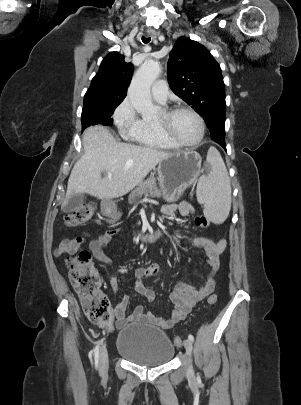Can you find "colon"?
Returning <instances> with one entry per match:
<instances>
[{"mask_svg": "<svg viewBox=\"0 0 301 405\" xmlns=\"http://www.w3.org/2000/svg\"><path fill=\"white\" fill-rule=\"evenodd\" d=\"M93 213V204H83L65 215L64 224L67 227L78 226L86 222ZM195 225L199 228H206L209 222L205 217L199 216L195 219ZM76 240L78 245L66 260L70 282L82 300L83 309L88 319L99 327L110 328L113 314L109 301L100 289L99 277L92 264L90 253L80 248L81 237H77ZM217 299L216 294H211L207 303L213 305ZM182 343L181 337L176 336L174 338L175 346L179 347Z\"/></svg>", "mask_w": 301, "mask_h": 405, "instance_id": "obj_1", "label": "colon"}]
</instances>
